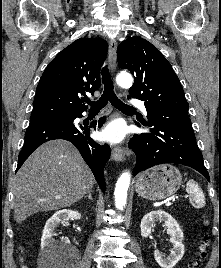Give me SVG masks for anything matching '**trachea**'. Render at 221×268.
Here are the masks:
<instances>
[{"mask_svg":"<svg viewBox=\"0 0 221 268\" xmlns=\"http://www.w3.org/2000/svg\"><path fill=\"white\" fill-rule=\"evenodd\" d=\"M102 82L104 84V91L100 99L97 101L86 100V103L90 105L92 110H100L105 107L110 101V103L117 109L121 111H135V108L124 104L115 94L113 81L111 80L110 72L108 66L102 69Z\"/></svg>","mask_w":221,"mask_h":268,"instance_id":"3493384b","label":"trachea"}]
</instances>
